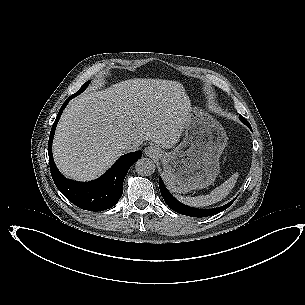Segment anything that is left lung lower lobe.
<instances>
[{
    "label": "left lung lower lobe",
    "mask_w": 305,
    "mask_h": 305,
    "mask_svg": "<svg viewBox=\"0 0 305 305\" xmlns=\"http://www.w3.org/2000/svg\"><path fill=\"white\" fill-rule=\"evenodd\" d=\"M159 187H160V191H161V195L164 198V201L166 202V204L173 209L174 211L177 210V204L180 203L179 201H177L170 193L169 191L166 189L162 179H159ZM235 200V199H234ZM234 200H232L231 202H229L228 204L222 206V207H218V208H213V209H206L207 210V216H211L214 214H217L221 211H224L225 209H227L233 202ZM182 204V203H181Z\"/></svg>",
    "instance_id": "0a47b994"
}]
</instances>
